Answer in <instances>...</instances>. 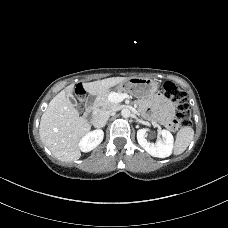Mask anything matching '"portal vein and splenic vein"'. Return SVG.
Returning <instances> with one entry per match:
<instances>
[{
	"label": "portal vein and splenic vein",
	"mask_w": 228,
	"mask_h": 228,
	"mask_svg": "<svg viewBox=\"0 0 228 228\" xmlns=\"http://www.w3.org/2000/svg\"><path fill=\"white\" fill-rule=\"evenodd\" d=\"M125 98H128L127 94H118V93L111 94V99L113 100V102H121Z\"/></svg>",
	"instance_id": "portal-vein-and-splenic-vein-1"
}]
</instances>
